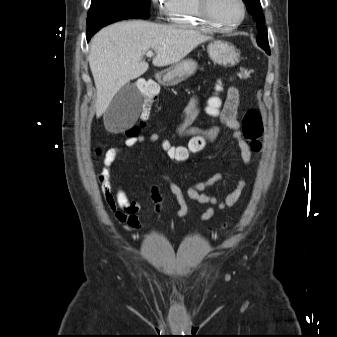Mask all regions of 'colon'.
Segmentation results:
<instances>
[{
    "label": "colon",
    "instance_id": "1",
    "mask_svg": "<svg viewBox=\"0 0 337 337\" xmlns=\"http://www.w3.org/2000/svg\"><path fill=\"white\" fill-rule=\"evenodd\" d=\"M253 69L243 66L239 70V75L243 79H250L253 77ZM137 86L141 91L142 102L147 106H141V119H152L155 107L152 104L155 98H158V91L155 84L148 81H138ZM205 107H222L223 101L220 94H208L207 100L204 101ZM205 116H220V109H205ZM143 122L130 128L126 134L128 137L139 135ZM242 133L244 139L249 143L250 148L259 152L262 148L261 138L263 135V122L260 112L257 109H249L242 119ZM163 143L159 145L160 151H166V155L170 156L171 161H182L189 152L201 151L204 147V140L193 139L189 140L187 148L179 147L178 144H172L169 137L163 138Z\"/></svg>",
    "mask_w": 337,
    "mask_h": 337
}]
</instances>
